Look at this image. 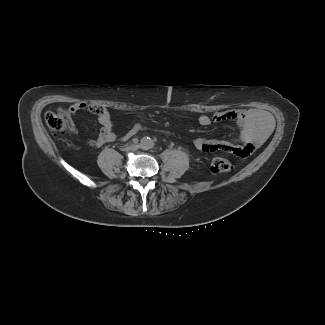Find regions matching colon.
I'll return each mask as SVG.
<instances>
[{"label":"colon","instance_id":"1","mask_svg":"<svg viewBox=\"0 0 325 325\" xmlns=\"http://www.w3.org/2000/svg\"><path fill=\"white\" fill-rule=\"evenodd\" d=\"M45 122L54 133H64L68 128L65 117L59 113L49 111L45 114ZM233 168L231 162L223 157L216 156L211 160L210 169L213 173H227Z\"/></svg>","mask_w":325,"mask_h":325}]
</instances>
